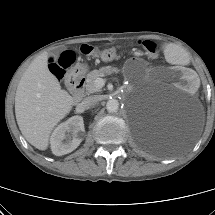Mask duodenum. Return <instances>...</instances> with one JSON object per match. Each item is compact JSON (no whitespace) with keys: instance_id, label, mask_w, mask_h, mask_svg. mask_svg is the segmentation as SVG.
I'll return each mask as SVG.
<instances>
[{"instance_id":"410a0bca","label":"duodenum","mask_w":215,"mask_h":215,"mask_svg":"<svg viewBox=\"0 0 215 215\" xmlns=\"http://www.w3.org/2000/svg\"><path fill=\"white\" fill-rule=\"evenodd\" d=\"M66 82L74 102H79L83 96L84 76L82 71L77 69L71 70L67 74Z\"/></svg>"}]
</instances>
